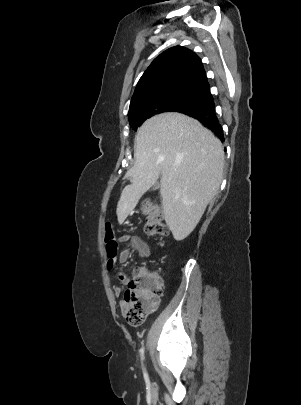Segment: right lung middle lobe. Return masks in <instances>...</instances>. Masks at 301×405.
<instances>
[{"label": "right lung middle lobe", "mask_w": 301, "mask_h": 405, "mask_svg": "<svg viewBox=\"0 0 301 405\" xmlns=\"http://www.w3.org/2000/svg\"><path fill=\"white\" fill-rule=\"evenodd\" d=\"M211 103L213 99L209 93L191 88H173L141 98L129 109L128 118L131 127L136 130L146 119L156 114Z\"/></svg>", "instance_id": "right-lung-middle-lobe-1"}]
</instances>
